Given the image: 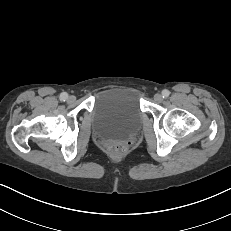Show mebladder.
<instances>
[{
	"mask_svg": "<svg viewBox=\"0 0 231 231\" xmlns=\"http://www.w3.org/2000/svg\"><path fill=\"white\" fill-rule=\"evenodd\" d=\"M91 129L102 141L126 139L140 126L143 111L140 92L134 88H110L96 95Z\"/></svg>",
	"mask_w": 231,
	"mask_h": 231,
	"instance_id": "1",
	"label": "bladder"
}]
</instances>
